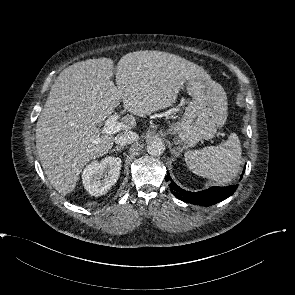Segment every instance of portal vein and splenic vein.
I'll use <instances>...</instances> for the list:
<instances>
[{
    "label": "portal vein and splenic vein",
    "instance_id": "obj_1",
    "mask_svg": "<svg viewBox=\"0 0 295 295\" xmlns=\"http://www.w3.org/2000/svg\"><path fill=\"white\" fill-rule=\"evenodd\" d=\"M118 115L114 114L108 117L101 132L103 134H115L121 130L122 124L117 121Z\"/></svg>",
    "mask_w": 295,
    "mask_h": 295
}]
</instances>
